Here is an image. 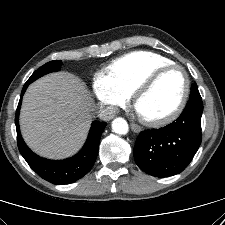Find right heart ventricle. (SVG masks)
Segmentation results:
<instances>
[{
    "mask_svg": "<svg viewBox=\"0 0 225 225\" xmlns=\"http://www.w3.org/2000/svg\"><path fill=\"white\" fill-rule=\"evenodd\" d=\"M170 64L173 61L162 55L134 51L112 62L107 73L113 83L130 96L149 74Z\"/></svg>",
    "mask_w": 225,
    "mask_h": 225,
    "instance_id": "1",
    "label": "right heart ventricle"
}]
</instances>
